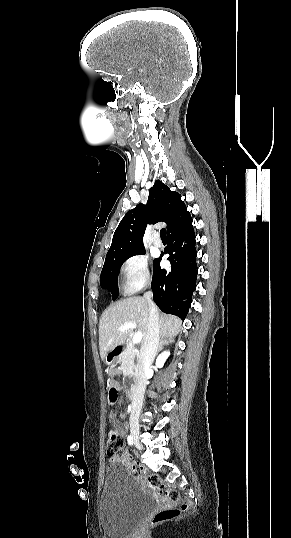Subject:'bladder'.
Segmentation results:
<instances>
[{"label": "bladder", "instance_id": "1", "mask_svg": "<svg viewBox=\"0 0 291 538\" xmlns=\"http://www.w3.org/2000/svg\"><path fill=\"white\" fill-rule=\"evenodd\" d=\"M154 507L125 465L112 463L105 468L99 522L107 536L129 535Z\"/></svg>", "mask_w": 291, "mask_h": 538}]
</instances>
